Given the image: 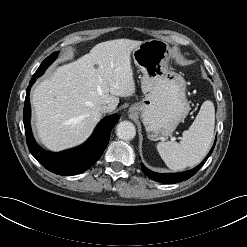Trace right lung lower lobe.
<instances>
[{
    "mask_svg": "<svg viewBox=\"0 0 247 247\" xmlns=\"http://www.w3.org/2000/svg\"><path fill=\"white\" fill-rule=\"evenodd\" d=\"M33 76L26 91L23 110V121L28 148L34 158L47 170L58 175H76L88 170L95 164L104 152L110 132L118 122L119 117L115 114L104 118L96 127L94 134L82 146L59 153H50L40 148L35 142L30 127V86L35 82Z\"/></svg>",
    "mask_w": 247,
    "mask_h": 247,
    "instance_id": "98d812e1",
    "label": "right lung lower lobe"
}]
</instances>
